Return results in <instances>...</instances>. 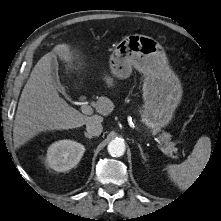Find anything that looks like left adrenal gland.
<instances>
[{"mask_svg":"<svg viewBox=\"0 0 221 221\" xmlns=\"http://www.w3.org/2000/svg\"><path fill=\"white\" fill-rule=\"evenodd\" d=\"M138 147H139V150H140V154H141L142 159H143L144 161H146L147 159H146V156H145L144 153H143V150H142L141 145L138 144Z\"/></svg>","mask_w":221,"mask_h":221,"instance_id":"a2214340","label":"left adrenal gland"}]
</instances>
